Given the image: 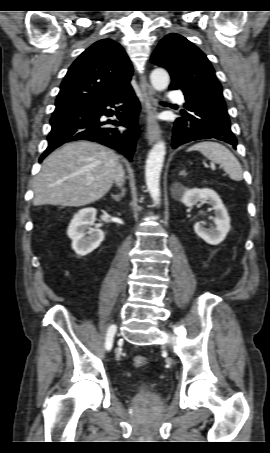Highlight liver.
Masks as SVG:
<instances>
[{"mask_svg":"<svg viewBox=\"0 0 270 453\" xmlns=\"http://www.w3.org/2000/svg\"><path fill=\"white\" fill-rule=\"evenodd\" d=\"M118 159L97 143L65 144L43 161L33 185V205L79 207L98 201L115 180Z\"/></svg>","mask_w":270,"mask_h":453,"instance_id":"liver-1","label":"liver"}]
</instances>
